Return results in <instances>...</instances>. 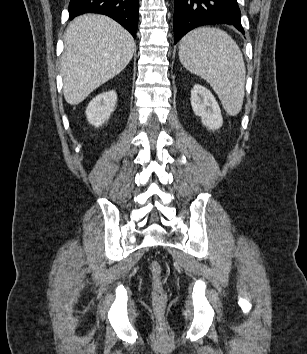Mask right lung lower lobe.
Returning <instances> with one entry per match:
<instances>
[{
	"label": "right lung lower lobe",
	"instance_id": "98d812e1",
	"mask_svg": "<svg viewBox=\"0 0 307 354\" xmlns=\"http://www.w3.org/2000/svg\"><path fill=\"white\" fill-rule=\"evenodd\" d=\"M101 13L113 18L136 37L138 0H71L69 18L87 13Z\"/></svg>",
	"mask_w": 307,
	"mask_h": 354
}]
</instances>
